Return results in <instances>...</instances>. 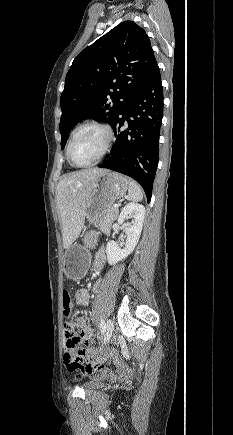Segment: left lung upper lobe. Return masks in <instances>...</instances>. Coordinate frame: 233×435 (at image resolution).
Wrapping results in <instances>:
<instances>
[{"label": "left lung upper lobe", "instance_id": "1", "mask_svg": "<svg viewBox=\"0 0 233 435\" xmlns=\"http://www.w3.org/2000/svg\"><path fill=\"white\" fill-rule=\"evenodd\" d=\"M156 65L149 37L132 21L120 23L78 54L61 94V148L84 119L112 127Z\"/></svg>", "mask_w": 233, "mask_h": 435}]
</instances>
